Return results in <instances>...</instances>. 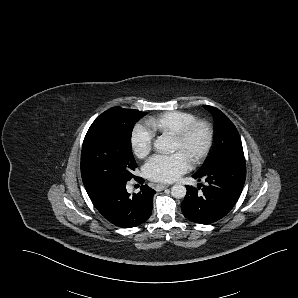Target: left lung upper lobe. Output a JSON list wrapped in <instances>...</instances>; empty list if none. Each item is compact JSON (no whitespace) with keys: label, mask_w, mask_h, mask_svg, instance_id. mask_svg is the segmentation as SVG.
Wrapping results in <instances>:
<instances>
[{"label":"left lung upper lobe","mask_w":298,"mask_h":298,"mask_svg":"<svg viewBox=\"0 0 298 298\" xmlns=\"http://www.w3.org/2000/svg\"><path fill=\"white\" fill-rule=\"evenodd\" d=\"M215 120V145L210 157L199 171H204L236 157H244L239 133L229 118L219 109L204 105Z\"/></svg>","instance_id":"left-lung-upper-lobe-1"}]
</instances>
